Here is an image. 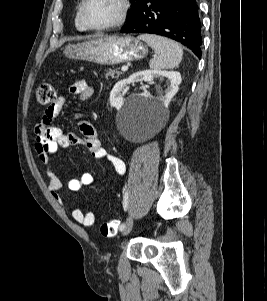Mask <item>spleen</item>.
<instances>
[{
  "mask_svg": "<svg viewBox=\"0 0 267 301\" xmlns=\"http://www.w3.org/2000/svg\"><path fill=\"white\" fill-rule=\"evenodd\" d=\"M138 39L146 42L156 53V57L149 62L151 69H173L181 62L183 50L173 40L149 34L140 35Z\"/></svg>",
  "mask_w": 267,
  "mask_h": 301,
  "instance_id": "3e777b00",
  "label": "spleen"
}]
</instances>
